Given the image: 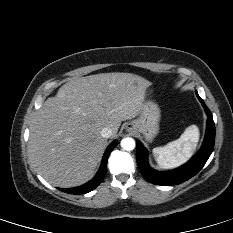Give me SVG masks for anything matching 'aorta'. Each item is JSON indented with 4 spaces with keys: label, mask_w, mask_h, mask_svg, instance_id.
Segmentation results:
<instances>
[{
    "label": "aorta",
    "mask_w": 233,
    "mask_h": 233,
    "mask_svg": "<svg viewBox=\"0 0 233 233\" xmlns=\"http://www.w3.org/2000/svg\"><path fill=\"white\" fill-rule=\"evenodd\" d=\"M135 145V140L133 138L126 137L121 140V147L126 151L133 150Z\"/></svg>",
    "instance_id": "obj_1"
}]
</instances>
